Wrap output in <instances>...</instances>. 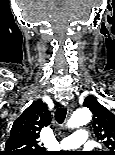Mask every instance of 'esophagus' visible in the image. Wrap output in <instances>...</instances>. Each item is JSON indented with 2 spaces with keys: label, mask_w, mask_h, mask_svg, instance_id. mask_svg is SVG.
Masks as SVG:
<instances>
[{
  "label": "esophagus",
  "mask_w": 115,
  "mask_h": 155,
  "mask_svg": "<svg viewBox=\"0 0 115 155\" xmlns=\"http://www.w3.org/2000/svg\"><path fill=\"white\" fill-rule=\"evenodd\" d=\"M68 112L71 113L72 112V105H68Z\"/></svg>",
  "instance_id": "34e87169"
}]
</instances>
